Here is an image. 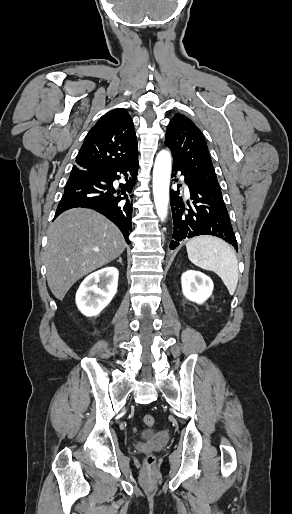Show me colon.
<instances>
[{
    "label": "colon",
    "instance_id": "colon-1",
    "mask_svg": "<svg viewBox=\"0 0 292 514\" xmlns=\"http://www.w3.org/2000/svg\"><path fill=\"white\" fill-rule=\"evenodd\" d=\"M143 422L146 426L151 427L155 423V418L152 414L146 413L143 415ZM147 463L151 464L154 462V456L152 454H148L146 457Z\"/></svg>",
    "mask_w": 292,
    "mask_h": 514
}]
</instances>
